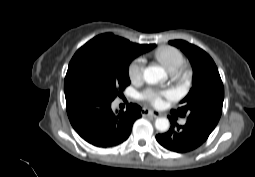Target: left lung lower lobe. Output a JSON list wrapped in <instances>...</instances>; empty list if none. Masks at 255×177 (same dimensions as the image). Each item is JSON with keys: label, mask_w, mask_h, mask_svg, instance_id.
<instances>
[{"label": "left lung lower lobe", "mask_w": 255, "mask_h": 177, "mask_svg": "<svg viewBox=\"0 0 255 177\" xmlns=\"http://www.w3.org/2000/svg\"><path fill=\"white\" fill-rule=\"evenodd\" d=\"M212 131L213 129L190 121L180 126L171 120L169 131L156 135V140L170 151L185 153L202 145Z\"/></svg>", "instance_id": "0a47b994"}]
</instances>
